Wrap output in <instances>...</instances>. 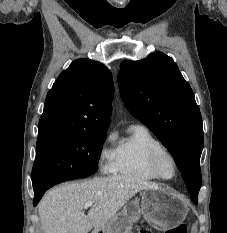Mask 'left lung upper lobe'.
<instances>
[{
  "label": "left lung upper lobe",
  "instance_id": "1",
  "mask_svg": "<svg viewBox=\"0 0 227 233\" xmlns=\"http://www.w3.org/2000/svg\"><path fill=\"white\" fill-rule=\"evenodd\" d=\"M118 74L121 97L174 157L192 201L201 188L203 126L190 85L173 59L155 52L139 61H123Z\"/></svg>",
  "mask_w": 227,
  "mask_h": 233
}]
</instances>
